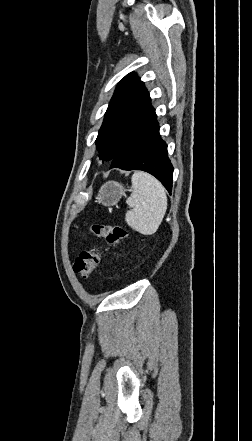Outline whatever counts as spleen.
<instances>
[{
	"label": "spleen",
	"instance_id": "spleen-1",
	"mask_svg": "<svg viewBox=\"0 0 252 441\" xmlns=\"http://www.w3.org/2000/svg\"><path fill=\"white\" fill-rule=\"evenodd\" d=\"M132 193L127 198L125 220L135 231L143 235L154 234L167 210V196L163 185L152 175L138 171L132 176Z\"/></svg>",
	"mask_w": 252,
	"mask_h": 441
}]
</instances>
